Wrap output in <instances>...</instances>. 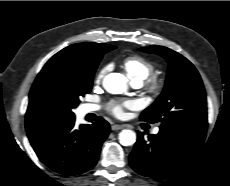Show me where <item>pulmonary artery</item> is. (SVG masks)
I'll use <instances>...</instances> for the list:
<instances>
[{"label":"pulmonary artery","instance_id":"pulmonary-artery-1","mask_svg":"<svg viewBox=\"0 0 230 186\" xmlns=\"http://www.w3.org/2000/svg\"><path fill=\"white\" fill-rule=\"evenodd\" d=\"M141 84H142V83L137 82V81L132 82V86L135 87V88L140 87ZM98 109H99V106L93 105V104H87V105H85V107H84V111H85L86 113L93 112V111H97ZM152 132H153L154 134H157V133L159 132V128H158V127L154 128Z\"/></svg>","mask_w":230,"mask_h":186}]
</instances>
